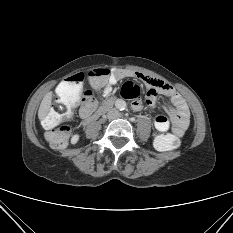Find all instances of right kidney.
<instances>
[{
	"label": "right kidney",
	"instance_id": "ca27d5eb",
	"mask_svg": "<svg viewBox=\"0 0 233 233\" xmlns=\"http://www.w3.org/2000/svg\"><path fill=\"white\" fill-rule=\"evenodd\" d=\"M79 137L78 134H74L71 138V144L75 145L79 141Z\"/></svg>",
	"mask_w": 233,
	"mask_h": 233
}]
</instances>
